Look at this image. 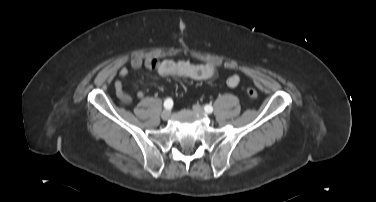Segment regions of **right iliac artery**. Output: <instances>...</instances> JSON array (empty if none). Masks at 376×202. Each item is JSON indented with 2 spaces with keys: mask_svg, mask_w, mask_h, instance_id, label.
<instances>
[{
  "mask_svg": "<svg viewBox=\"0 0 376 202\" xmlns=\"http://www.w3.org/2000/svg\"><path fill=\"white\" fill-rule=\"evenodd\" d=\"M172 106H173V100L171 98H167L164 101V107H165V109H171Z\"/></svg>",
  "mask_w": 376,
  "mask_h": 202,
  "instance_id": "right-iliac-artery-1",
  "label": "right iliac artery"
}]
</instances>
